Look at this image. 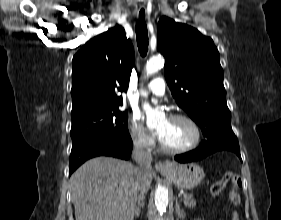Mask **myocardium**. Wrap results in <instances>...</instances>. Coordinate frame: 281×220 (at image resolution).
<instances>
[{
    "label": "myocardium",
    "mask_w": 281,
    "mask_h": 220,
    "mask_svg": "<svg viewBox=\"0 0 281 220\" xmlns=\"http://www.w3.org/2000/svg\"><path fill=\"white\" fill-rule=\"evenodd\" d=\"M168 119L169 120H182V121H185L188 124H190V126L192 127V129L194 131V139L191 144H189L188 146L182 147V148H169L162 142L161 139H159L160 148L163 152L168 153V154H173V155L183 154V153H187V152L194 150L200 144L201 130H200L198 123L193 118H191L190 116L185 115V114H174V115H171Z\"/></svg>",
    "instance_id": "f54148a6"
}]
</instances>
